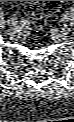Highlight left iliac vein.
<instances>
[{"instance_id":"obj_1","label":"left iliac vein","mask_w":74,"mask_h":122,"mask_svg":"<svg viewBox=\"0 0 74 122\" xmlns=\"http://www.w3.org/2000/svg\"><path fill=\"white\" fill-rule=\"evenodd\" d=\"M70 19V13H65L62 17V20L64 22H67ZM69 31V26L68 25H64L61 29V32L63 35H66L67 32Z\"/></svg>"}]
</instances>
